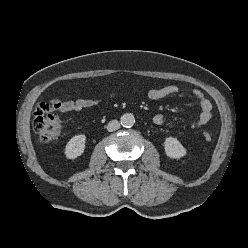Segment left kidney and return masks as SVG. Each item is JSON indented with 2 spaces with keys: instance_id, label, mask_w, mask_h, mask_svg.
<instances>
[{
  "instance_id": "left-kidney-1",
  "label": "left kidney",
  "mask_w": 248,
  "mask_h": 248,
  "mask_svg": "<svg viewBox=\"0 0 248 248\" xmlns=\"http://www.w3.org/2000/svg\"><path fill=\"white\" fill-rule=\"evenodd\" d=\"M165 153L168 157L173 159H179L186 155V149L182 144L174 137H167L164 141Z\"/></svg>"
}]
</instances>
